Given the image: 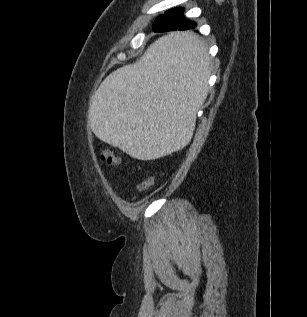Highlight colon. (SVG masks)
<instances>
[{"instance_id":"1","label":"colon","mask_w":307,"mask_h":317,"mask_svg":"<svg viewBox=\"0 0 307 317\" xmlns=\"http://www.w3.org/2000/svg\"><path fill=\"white\" fill-rule=\"evenodd\" d=\"M100 160L108 165L117 166L121 163V158L114 154L110 149H104L100 153ZM155 183L154 176H148L142 182L137 184L136 190L143 192L149 190Z\"/></svg>"}]
</instances>
